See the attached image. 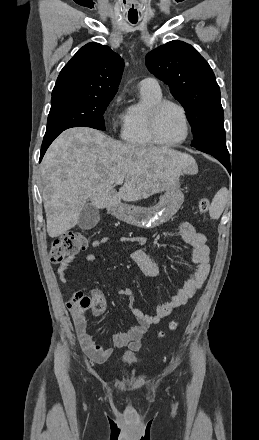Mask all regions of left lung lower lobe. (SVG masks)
I'll list each match as a JSON object with an SVG mask.
<instances>
[{
	"mask_svg": "<svg viewBox=\"0 0 259 440\" xmlns=\"http://www.w3.org/2000/svg\"><path fill=\"white\" fill-rule=\"evenodd\" d=\"M197 150L208 153L218 159L228 170L230 169V157L226 145H206L196 147Z\"/></svg>",
	"mask_w": 259,
	"mask_h": 440,
	"instance_id": "left-lung-lower-lobe-1",
	"label": "left lung lower lobe"
}]
</instances>
